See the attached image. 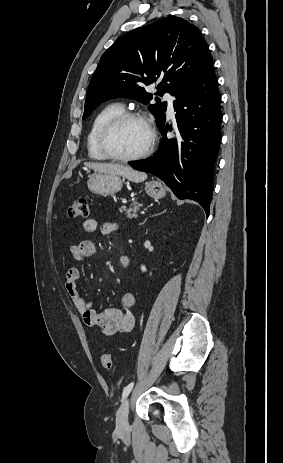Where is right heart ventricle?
<instances>
[{
  "mask_svg": "<svg viewBox=\"0 0 283 463\" xmlns=\"http://www.w3.org/2000/svg\"><path fill=\"white\" fill-rule=\"evenodd\" d=\"M124 107L120 103H110L104 106L93 118L86 139L87 153L94 160H106L99 147V134L103 126L114 116L122 113Z\"/></svg>",
  "mask_w": 283,
  "mask_h": 463,
  "instance_id": "1",
  "label": "right heart ventricle"
}]
</instances>
